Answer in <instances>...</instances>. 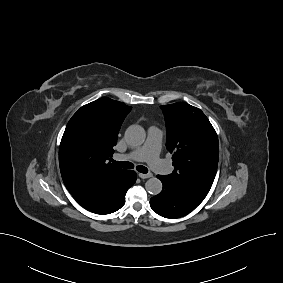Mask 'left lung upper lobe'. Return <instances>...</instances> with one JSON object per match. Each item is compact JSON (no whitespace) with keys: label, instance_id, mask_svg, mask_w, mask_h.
I'll return each instance as SVG.
<instances>
[{"label":"left lung upper lobe","instance_id":"1","mask_svg":"<svg viewBox=\"0 0 283 283\" xmlns=\"http://www.w3.org/2000/svg\"><path fill=\"white\" fill-rule=\"evenodd\" d=\"M167 129L166 148L173 154L174 171L166 175L201 203L214 181L219 145L204 113L187 103L161 106Z\"/></svg>","mask_w":283,"mask_h":283}]
</instances>
